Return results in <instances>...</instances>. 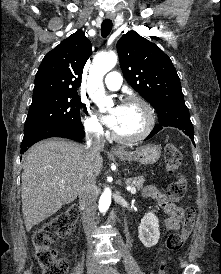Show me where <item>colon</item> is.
I'll return each instance as SVG.
<instances>
[{
  "instance_id": "5ec220e1",
  "label": "colon",
  "mask_w": 221,
  "mask_h": 274,
  "mask_svg": "<svg viewBox=\"0 0 221 274\" xmlns=\"http://www.w3.org/2000/svg\"><path fill=\"white\" fill-rule=\"evenodd\" d=\"M165 168L169 174L176 172L181 164L182 156L179 149L168 143L164 148ZM187 189V182L183 175L178 174L167 191V198L171 202L181 200ZM79 210L72 206L52 220L44 223L31 235V243L34 247L35 259L43 270V274H67L68 264L64 259L57 256L51 244L59 238L69 235L76 224ZM195 213L193 208L187 207L184 211V221L180 232L168 236L166 247L170 252L179 250L191 234L194 224ZM159 274H165V262L159 266Z\"/></svg>"
}]
</instances>
